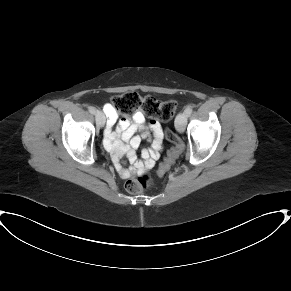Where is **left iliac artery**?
Returning a JSON list of instances; mask_svg holds the SVG:
<instances>
[{
  "label": "left iliac artery",
  "instance_id": "44dca946",
  "mask_svg": "<svg viewBox=\"0 0 291 291\" xmlns=\"http://www.w3.org/2000/svg\"><path fill=\"white\" fill-rule=\"evenodd\" d=\"M192 111H193V108L190 105L186 106V108L184 110V112L187 114V116H190Z\"/></svg>",
  "mask_w": 291,
  "mask_h": 291
}]
</instances>
